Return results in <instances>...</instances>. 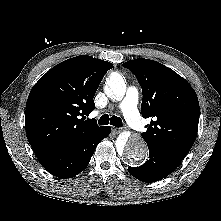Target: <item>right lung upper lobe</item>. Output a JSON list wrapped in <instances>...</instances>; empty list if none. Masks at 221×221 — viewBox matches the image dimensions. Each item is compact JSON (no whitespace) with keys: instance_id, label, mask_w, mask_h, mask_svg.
Returning <instances> with one entry per match:
<instances>
[{"instance_id":"right-lung-upper-lobe-1","label":"right lung upper lobe","mask_w":221,"mask_h":221,"mask_svg":"<svg viewBox=\"0 0 221 221\" xmlns=\"http://www.w3.org/2000/svg\"><path fill=\"white\" fill-rule=\"evenodd\" d=\"M111 68L110 62L81 55L59 63L33 86L26 103L25 128L37 158L102 129L86 116L95 107L96 90Z\"/></svg>"}]
</instances>
